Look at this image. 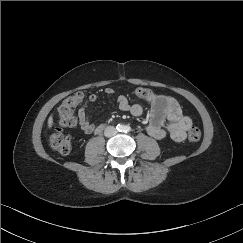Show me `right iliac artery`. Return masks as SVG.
<instances>
[{"instance_id":"1","label":"right iliac artery","mask_w":243,"mask_h":243,"mask_svg":"<svg viewBox=\"0 0 243 243\" xmlns=\"http://www.w3.org/2000/svg\"><path fill=\"white\" fill-rule=\"evenodd\" d=\"M117 127H118V130H122L123 129V126L122 125H117Z\"/></svg>"}]
</instances>
